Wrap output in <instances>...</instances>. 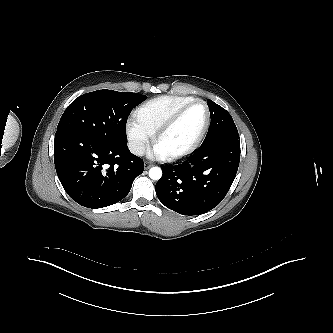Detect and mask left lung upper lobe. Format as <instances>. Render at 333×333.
<instances>
[{
	"mask_svg": "<svg viewBox=\"0 0 333 333\" xmlns=\"http://www.w3.org/2000/svg\"><path fill=\"white\" fill-rule=\"evenodd\" d=\"M207 104L210 110L211 123L203 143L221 137L239 138L237 128L231 115L224 108L209 99Z\"/></svg>",
	"mask_w": 333,
	"mask_h": 333,
	"instance_id": "left-lung-upper-lobe-1",
	"label": "left lung upper lobe"
}]
</instances>
